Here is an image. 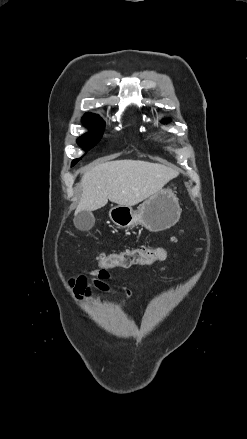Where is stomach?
Here are the masks:
<instances>
[{
  "mask_svg": "<svg viewBox=\"0 0 247 439\" xmlns=\"http://www.w3.org/2000/svg\"><path fill=\"white\" fill-rule=\"evenodd\" d=\"M181 215L178 197L171 188L159 190L145 200L137 210L131 206L118 205L109 211L111 221L120 228L137 225L151 232L166 230L175 225Z\"/></svg>",
  "mask_w": 247,
  "mask_h": 439,
  "instance_id": "1",
  "label": "stomach"
}]
</instances>
